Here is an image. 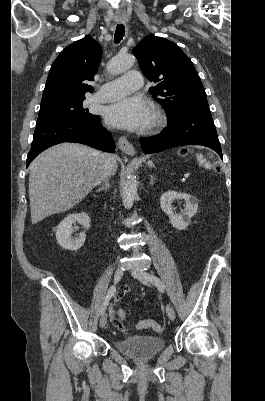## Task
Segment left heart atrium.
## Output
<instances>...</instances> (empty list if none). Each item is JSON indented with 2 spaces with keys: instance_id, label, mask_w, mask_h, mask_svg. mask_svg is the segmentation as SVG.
I'll return each instance as SVG.
<instances>
[{
  "instance_id": "1",
  "label": "left heart atrium",
  "mask_w": 265,
  "mask_h": 401,
  "mask_svg": "<svg viewBox=\"0 0 265 401\" xmlns=\"http://www.w3.org/2000/svg\"><path fill=\"white\" fill-rule=\"evenodd\" d=\"M152 116L151 104L140 97H125L105 109V119L115 127L136 130L147 126Z\"/></svg>"
}]
</instances>
